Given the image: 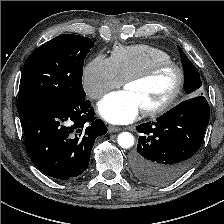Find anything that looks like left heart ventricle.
<instances>
[{
  "label": "left heart ventricle",
  "instance_id": "left-heart-ventricle-1",
  "mask_svg": "<svg viewBox=\"0 0 224 224\" xmlns=\"http://www.w3.org/2000/svg\"><path fill=\"white\" fill-rule=\"evenodd\" d=\"M175 84V71L165 69L146 81L128 84L125 90L131 92L138 99L143 110L164 102L172 93Z\"/></svg>",
  "mask_w": 224,
  "mask_h": 224
}]
</instances>
